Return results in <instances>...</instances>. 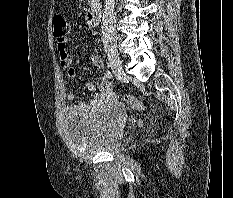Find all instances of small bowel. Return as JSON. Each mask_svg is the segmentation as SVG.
<instances>
[{
  "mask_svg": "<svg viewBox=\"0 0 233 198\" xmlns=\"http://www.w3.org/2000/svg\"><path fill=\"white\" fill-rule=\"evenodd\" d=\"M68 39L63 41L57 40V51L59 55V62L62 68L66 71V75L69 78L76 77V69L73 66V58L68 54L66 46ZM90 62L93 66L98 69L103 68V61L99 55H93L90 58ZM106 76V75H105ZM86 88L88 92H93V98L89 102H78L73 105V109L82 112H94L100 108L104 103L115 102L116 95L113 91L112 83L109 79L104 78L97 90L92 83H87ZM76 98L75 92L71 91L67 94V99L69 101H74Z\"/></svg>",
  "mask_w": 233,
  "mask_h": 198,
  "instance_id": "c3829d8e",
  "label": "small bowel"
}]
</instances>
